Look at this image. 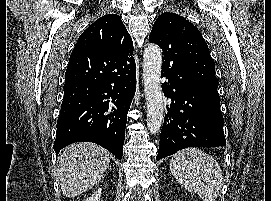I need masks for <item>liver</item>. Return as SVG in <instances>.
Returning a JSON list of instances; mask_svg holds the SVG:
<instances>
[{
	"instance_id": "liver-1",
	"label": "liver",
	"mask_w": 271,
	"mask_h": 201,
	"mask_svg": "<svg viewBox=\"0 0 271 201\" xmlns=\"http://www.w3.org/2000/svg\"><path fill=\"white\" fill-rule=\"evenodd\" d=\"M110 154L97 144L81 142L67 146L59 156L56 178L67 198L93 188L106 172Z\"/></svg>"
}]
</instances>
